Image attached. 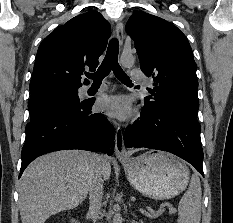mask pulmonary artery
Here are the masks:
<instances>
[{
  "mask_svg": "<svg viewBox=\"0 0 233 223\" xmlns=\"http://www.w3.org/2000/svg\"><path fill=\"white\" fill-rule=\"evenodd\" d=\"M130 79H146V74L144 70H130Z\"/></svg>",
  "mask_w": 233,
  "mask_h": 223,
  "instance_id": "1",
  "label": "pulmonary artery"
}]
</instances>
